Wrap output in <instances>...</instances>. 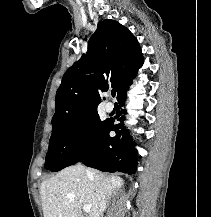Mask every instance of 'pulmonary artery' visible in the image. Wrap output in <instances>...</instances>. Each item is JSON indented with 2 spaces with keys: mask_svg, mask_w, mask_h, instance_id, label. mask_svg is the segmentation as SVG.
Returning a JSON list of instances; mask_svg holds the SVG:
<instances>
[{
  "mask_svg": "<svg viewBox=\"0 0 211 217\" xmlns=\"http://www.w3.org/2000/svg\"><path fill=\"white\" fill-rule=\"evenodd\" d=\"M113 109H114L113 103L107 102V103L105 104V110H106L107 112H112Z\"/></svg>",
  "mask_w": 211,
  "mask_h": 217,
  "instance_id": "obj_1",
  "label": "pulmonary artery"
}]
</instances>
